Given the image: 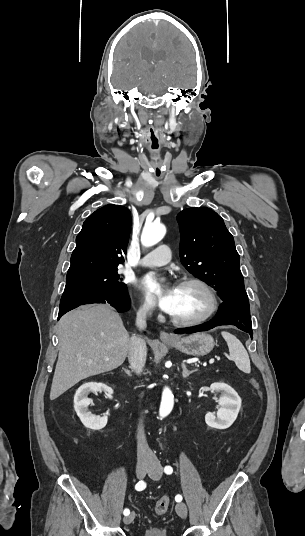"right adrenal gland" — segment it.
<instances>
[{
	"mask_svg": "<svg viewBox=\"0 0 305 536\" xmlns=\"http://www.w3.org/2000/svg\"><path fill=\"white\" fill-rule=\"evenodd\" d=\"M124 372H126V374H128V376H131V372L130 370H125V368H123Z\"/></svg>",
	"mask_w": 305,
	"mask_h": 536,
	"instance_id": "right-adrenal-gland-1",
	"label": "right adrenal gland"
}]
</instances>
